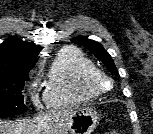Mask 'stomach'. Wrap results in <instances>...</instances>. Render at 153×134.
Segmentation results:
<instances>
[{
    "instance_id": "stomach-1",
    "label": "stomach",
    "mask_w": 153,
    "mask_h": 134,
    "mask_svg": "<svg viewBox=\"0 0 153 134\" xmlns=\"http://www.w3.org/2000/svg\"><path fill=\"white\" fill-rule=\"evenodd\" d=\"M98 113L93 109L76 110L69 125L70 134H91L97 127Z\"/></svg>"
}]
</instances>
